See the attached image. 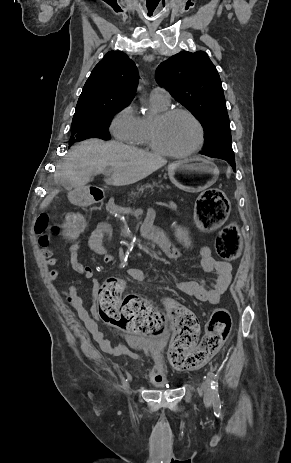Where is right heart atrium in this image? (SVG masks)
Returning <instances> with one entry per match:
<instances>
[{
    "label": "right heart atrium",
    "instance_id": "1",
    "mask_svg": "<svg viewBox=\"0 0 291 463\" xmlns=\"http://www.w3.org/2000/svg\"><path fill=\"white\" fill-rule=\"evenodd\" d=\"M110 130L117 140L134 144L139 131V117L132 105H127L115 114Z\"/></svg>",
    "mask_w": 291,
    "mask_h": 463
}]
</instances>
